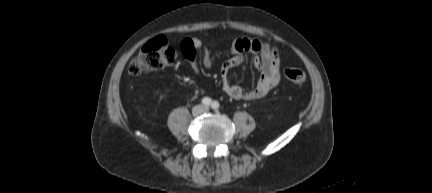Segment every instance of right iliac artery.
<instances>
[{
    "instance_id": "obj_1",
    "label": "right iliac artery",
    "mask_w": 432,
    "mask_h": 193,
    "mask_svg": "<svg viewBox=\"0 0 432 193\" xmlns=\"http://www.w3.org/2000/svg\"><path fill=\"white\" fill-rule=\"evenodd\" d=\"M202 104L206 107H209L212 104V100L208 97H204L202 99Z\"/></svg>"
}]
</instances>
